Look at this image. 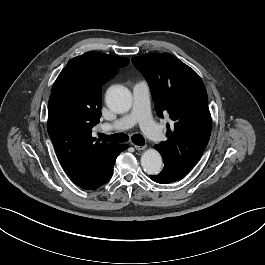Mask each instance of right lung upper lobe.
Here are the masks:
<instances>
[{
	"label": "right lung upper lobe",
	"mask_w": 265,
	"mask_h": 265,
	"mask_svg": "<svg viewBox=\"0 0 265 265\" xmlns=\"http://www.w3.org/2000/svg\"><path fill=\"white\" fill-rule=\"evenodd\" d=\"M129 59L87 52L68 62L52 87L47 130L68 175L96 153L115 144L96 141L92 128L101 116V88L107 77Z\"/></svg>",
	"instance_id": "cb5924a9"
}]
</instances>
